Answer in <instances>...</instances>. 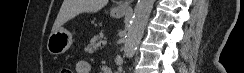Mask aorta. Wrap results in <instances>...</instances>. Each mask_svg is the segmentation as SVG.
I'll return each instance as SVG.
<instances>
[{"label": "aorta", "mask_w": 244, "mask_h": 73, "mask_svg": "<svg viewBox=\"0 0 244 73\" xmlns=\"http://www.w3.org/2000/svg\"><path fill=\"white\" fill-rule=\"evenodd\" d=\"M154 2L155 0H138L135 5L134 13L125 37L124 54L127 57L132 56L136 50L137 43L144 32Z\"/></svg>", "instance_id": "762f6f07"}]
</instances>
